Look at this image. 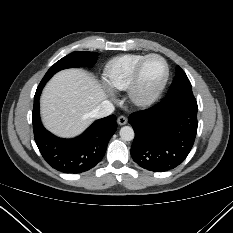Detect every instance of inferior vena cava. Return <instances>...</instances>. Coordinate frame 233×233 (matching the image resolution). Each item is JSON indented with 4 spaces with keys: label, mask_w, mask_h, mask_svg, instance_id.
Returning a JSON list of instances; mask_svg holds the SVG:
<instances>
[{
    "label": "inferior vena cava",
    "mask_w": 233,
    "mask_h": 233,
    "mask_svg": "<svg viewBox=\"0 0 233 233\" xmlns=\"http://www.w3.org/2000/svg\"><path fill=\"white\" fill-rule=\"evenodd\" d=\"M115 108L110 101H103L95 109L90 112L92 118H103L114 112Z\"/></svg>",
    "instance_id": "1"
}]
</instances>
